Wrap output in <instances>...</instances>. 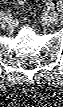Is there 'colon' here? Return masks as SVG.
Segmentation results:
<instances>
[{"label":"colon","instance_id":"colon-1","mask_svg":"<svg viewBox=\"0 0 63 107\" xmlns=\"http://www.w3.org/2000/svg\"><path fill=\"white\" fill-rule=\"evenodd\" d=\"M25 2L24 1H18V4L23 5Z\"/></svg>","mask_w":63,"mask_h":107}]
</instances>
